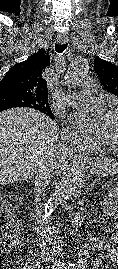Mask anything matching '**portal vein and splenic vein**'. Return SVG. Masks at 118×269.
Segmentation results:
<instances>
[{"mask_svg": "<svg viewBox=\"0 0 118 269\" xmlns=\"http://www.w3.org/2000/svg\"><path fill=\"white\" fill-rule=\"evenodd\" d=\"M107 186H109L108 184H104V187H107Z\"/></svg>", "mask_w": 118, "mask_h": 269, "instance_id": "1", "label": "portal vein and splenic vein"}]
</instances>
